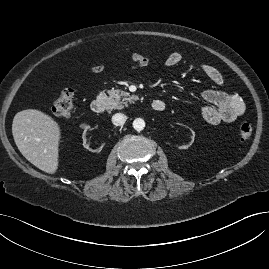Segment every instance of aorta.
<instances>
[{"label": "aorta", "instance_id": "obj_1", "mask_svg": "<svg viewBox=\"0 0 269 269\" xmlns=\"http://www.w3.org/2000/svg\"><path fill=\"white\" fill-rule=\"evenodd\" d=\"M145 127V121L141 118H136L134 121H133V128L136 130V131H141L143 130Z\"/></svg>", "mask_w": 269, "mask_h": 269}]
</instances>
